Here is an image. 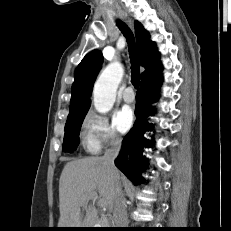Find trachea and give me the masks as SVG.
I'll list each match as a JSON object with an SVG mask.
<instances>
[{"label": "trachea", "mask_w": 231, "mask_h": 231, "mask_svg": "<svg viewBox=\"0 0 231 231\" xmlns=\"http://www.w3.org/2000/svg\"><path fill=\"white\" fill-rule=\"evenodd\" d=\"M117 26L119 27V29L127 39L130 62H131V83L135 88H138L140 82V71H139V63L136 53L134 35L131 29L121 20H117Z\"/></svg>", "instance_id": "3493384b"}]
</instances>
